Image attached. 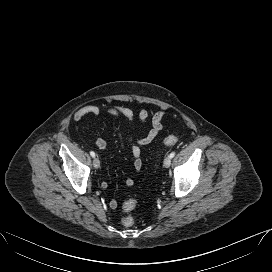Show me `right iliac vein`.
Instances as JSON below:
<instances>
[{"mask_svg": "<svg viewBox=\"0 0 272 272\" xmlns=\"http://www.w3.org/2000/svg\"><path fill=\"white\" fill-rule=\"evenodd\" d=\"M93 166H94V168H99L100 167V161H99V159L97 157L94 158V160H93Z\"/></svg>", "mask_w": 272, "mask_h": 272, "instance_id": "63e3f726", "label": "right iliac vein"}]
</instances>
